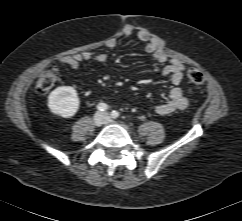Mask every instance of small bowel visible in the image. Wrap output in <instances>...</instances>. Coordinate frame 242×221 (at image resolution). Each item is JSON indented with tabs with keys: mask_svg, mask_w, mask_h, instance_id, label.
I'll use <instances>...</instances> for the list:
<instances>
[{
	"mask_svg": "<svg viewBox=\"0 0 242 221\" xmlns=\"http://www.w3.org/2000/svg\"><path fill=\"white\" fill-rule=\"evenodd\" d=\"M124 34L136 35L141 42L146 43L145 51L152 55L159 64L164 65L161 75L164 77H170L171 82L175 85L169 92V99L166 102L155 106V112L159 115H168L173 112L186 109L189 105V101L183 94L182 89L178 87L184 76V63L178 59L169 58L165 51L153 42L151 36L144 30H137L132 27H128L124 30ZM105 46L108 49H113L116 46L115 39H108ZM59 62L72 69H76L81 64L88 62H96L102 65H107L109 62V55L107 53L95 54L90 51H84L73 55L63 56L59 59Z\"/></svg>",
	"mask_w": 242,
	"mask_h": 221,
	"instance_id": "1",
	"label": "small bowel"
}]
</instances>
